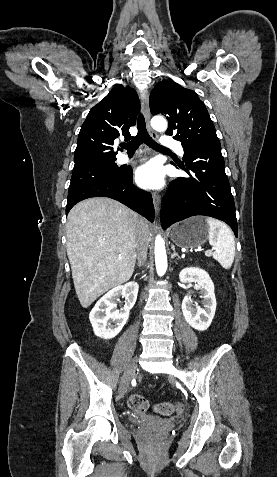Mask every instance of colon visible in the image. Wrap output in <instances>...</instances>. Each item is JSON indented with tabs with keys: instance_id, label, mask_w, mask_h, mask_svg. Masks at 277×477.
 Returning <instances> with one entry per match:
<instances>
[{
	"instance_id": "5ec220e1",
	"label": "colon",
	"mask_w": 277,
	"mask_h": 477,
	"mask_svg": "<svg viewBox=\"0 0 277 477\" xmlns=\"http://www.w3.org/2000/svg\"><path fill=\"white\" fill-rule=\"evenodd\" d=\"M129 407L136 412H144L148 409V401L139 394H133L128 400ZM154 410L162 415L180 413L183 406L180 403L163 402L154 406Z\"/></svg>"
}]
</instances>
